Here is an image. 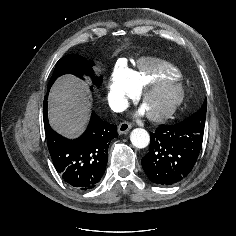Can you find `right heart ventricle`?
I'll return each instance as SVG.
<instances>
[{
	"instance_id": "1",
	"label": "right heart ventricle",
	"mask_w": 236,
	"mask_h": 236,
	"mask_svg": "<svg viewBox=\"0 0 236 236\" xmlns=\"http://www.w3.org/2000/svg\"><path fill=\"white\" fill-rule=\"evenodd\" d=\"M165 77L180 78L181 73L169 62L155 58L140 59L130 69V83L135 92L144 85Z\"/></svg>"
}]
</instances>
